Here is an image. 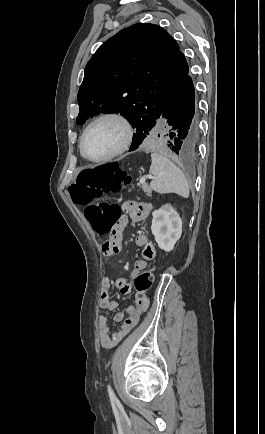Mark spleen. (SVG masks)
<instances>
[{
    "instance_id": "3e777b00",
    "label": "spleen",
    "mask_w": 265,
    "mask_h": 434,
    "mask_svg": "<svg viewBox=\"0 0 265 434\" xmlns=\"http://www.w3.org/2000/svg\"><path fill=\"white\" fill-rule=\"evenodd\" d=\"M150 174H153L155 180L150 184L151 190L158 194H179L182 198H189L188 182L181 172L167 156L153 152L151 154Z\"/></svg>"
}]
</instances>
